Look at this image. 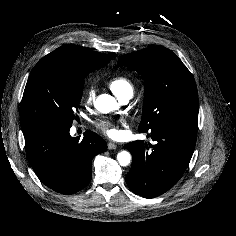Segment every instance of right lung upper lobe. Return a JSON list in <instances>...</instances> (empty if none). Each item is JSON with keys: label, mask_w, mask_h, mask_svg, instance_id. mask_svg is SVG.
<instances>
[{"label": "right lung upper lobe", "mask_w": 236, "mask_h": 236, "mask_svg": "<svg viewBox=\"0 0 236 236\" xmlns=\"http://www.w3.org/2000/svg\"><path fill=\"white\" fill-rule=\"evenodd\" d=\"M114 56V53L102 54L78 45H65L44 56L33 68V71L92 72L104 67Z\"/></svg>", "instance_id": "cb5924a9"}]
</instances>
